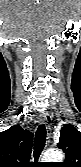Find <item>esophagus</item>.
Returning <instances> with one entry per match:
<instances>
[{
  "mask_svg": "<svg viewBox=\"0 0 81 167\" xmlns=\"http://www.w3.org/2000/svg\"><path fill=\"white\" fill-rule=\"evenodd\" d=\"M40 122L44 124L48 130L51 129L52 119L48 113H43L40 115Z\"/></svg>",
  "mask_w": 81,
  "mask_h": 167,
  "instance_id": "34e87169",
  "label": "esophagus"
}]
</instances>
